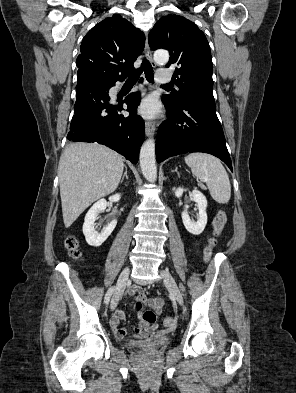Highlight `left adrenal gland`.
<instances>
[{
    "instance_id": "1",
    "label": "left adrenal gland",
    "mask_w": 296,
    "mask_h": 393,
    "mask_svg": "<svg viewBox=\"0 0 296 393\" xmlns=\"http://www.w3.org/2000/svg\"><path fill=\"white\" fill-rule=\"evenodd\" d=\"M172 172H176L178 177L180 176V173L178 172V168L177 167Z\"/></svg>"
}]
</instances>
